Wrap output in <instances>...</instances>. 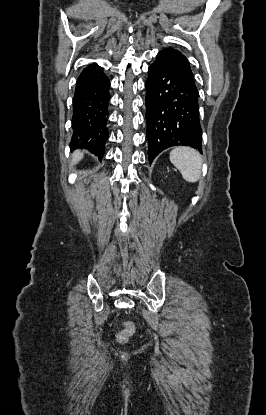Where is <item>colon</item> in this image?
Here are the masks:
<instances>
[{
    "instance_id": "1",
    "label": "colon",
    "mask_w": 266,
    "mask_h": 415,
    "mask_svg": "<svg viewBox=\"0 0 266 415\" xmlns=\"http://www.w3.org/2000/svg\"><path fill=\"white\" fill-rule=\"evenodd\" d=\"M135 333V327L131 322H124L122 329L117 334V340L119 343H126Z\"/></svg>"
}]
</instances>
